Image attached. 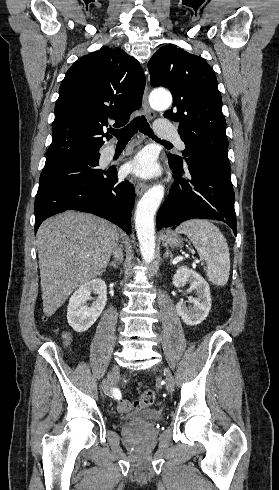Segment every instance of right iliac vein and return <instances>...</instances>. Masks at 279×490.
Returning a JSON list of instances; mask_svg holds the SVG:
<instances>
[{
    "label": "right iliac vein",
    "instance_id": "right-iliac-vein-1",
    "mask_svg": "<svg viewBox=\"0 0 279 490\" xmlns=\"http://www.w3.org/2000/svg\"><path fill=\"white\" fill-rule=\"evenodd\" d=\"M112 370H113L112 374H113V375H115V374H116V372L118 371V367H117L116 365H114V366L112 367Z\"/></svg>",
    "mask_w": 279,
    "mask_h": 490
}]
</instances>
